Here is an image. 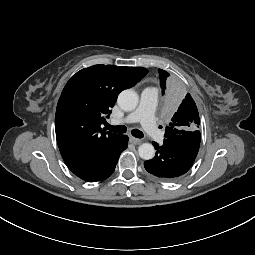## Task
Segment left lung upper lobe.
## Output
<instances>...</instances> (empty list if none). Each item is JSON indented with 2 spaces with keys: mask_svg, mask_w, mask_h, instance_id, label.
<instances>
[{
  "mask_svg": "<svg viewBox=\"0 0 255 255\" xmlns=\"http://www.w3.org/2000/svg\"><path fill=\"white\" fill-rule=\"evenodd\" d=\"M159 78L164 94L165 89L169 86V73L159 69ZM173 91L175 87L170 86ZM200 124L199 113L194 100L190 94L184 97L177 95L171 109V121L166 127L165 139L185 135L198 130Z\"/></svg>",
  "mask_w": 255,
  "mask_h": 255,
  "instance_id": "5c2ea615",
  "label": "left lung upper lobe"
}]
</instances>
